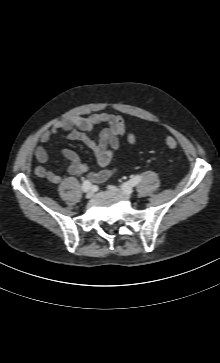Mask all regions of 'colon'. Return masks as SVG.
I'll use <instances>...</instances> for the list:
<instances>
[{"label":"colon","instance_id":"1","mask_svg":"<svg viewBox=\"0 0 220 363\" xmlns=\"http://www.w3.org/2000/svg\"><path fill=\"white\" fill-rule=\"evenodd\" d=\"M165 145L169 148V149H175L177 147V142L176 140L171 137V136H167L165 138ZM112 158V152L110 151L108 153V159H111Z\"/></svg>","mask_w":220,"mask_h":363}]
</instances>
